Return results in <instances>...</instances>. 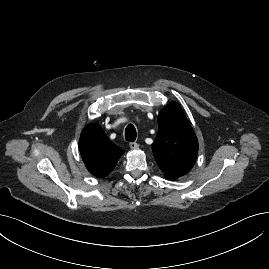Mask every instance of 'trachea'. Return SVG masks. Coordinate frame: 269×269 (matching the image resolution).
<instances>
[{
	"mask_svg": "<svg viewBox=\"0 0 269 269\" xmlns=\"http://www.w3.org/2000/svg\"><path fill=\"white\" fill-rule=\"evenodd\" d=\"M136 129L132 124H129L125 129V138L127 141L133 142L136 140Z\"/></svg>",
	"mask_w": 269,
	"mask_h": 269,
	"instance_id": "trachea-1",
	"label": "trachea"
}]
</instances>
